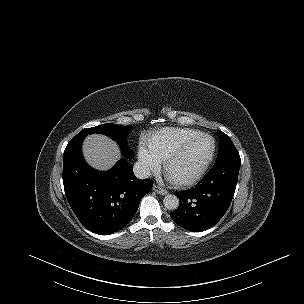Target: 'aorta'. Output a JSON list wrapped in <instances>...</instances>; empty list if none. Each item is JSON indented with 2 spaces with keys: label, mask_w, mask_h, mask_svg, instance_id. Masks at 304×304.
Returning a JSON list of instances; mask_svg holds the SVG:
<instances>
[{
  "label": "aorta",
  "mask_w": 304,
  "mask_h": 304,
  "mask_svg": "<svg viewBox=\"0 0 304 304\" xmlns=\"http://www.w3.org/2000/svg\"><path fill=\"white\" fill-rule=\"evenodd\" d=\"M163 204L168 210H176L179 207V198L172 194L164 197Z\"/></svg>",
  "instance_id": "762f6f07"
}]
</instances>
